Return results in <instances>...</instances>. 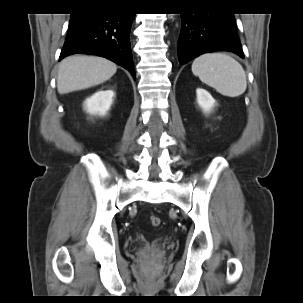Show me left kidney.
<instances>
[{"label": "left kidney", "mask_w": 303, "mask_h": 303, "mask_svg": "<svg viewBox=\"0 0 303 303\" xmlns=\"http://www.w3.org/2000/svg\"><path fill=\"white\" fill-rule=\"evenodd\" d=\"M197 103L204 113H209L216 105V100L211 94L202 88L196 89Z\"/></svg>", "instance_id": "5707ae66"}]
</instances>
